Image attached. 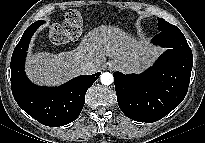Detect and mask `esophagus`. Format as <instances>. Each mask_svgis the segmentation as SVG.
I'll return each instance as SVG.
<instances>
[{
  "label": "esophagus",
  "mask_w": 205,
  "mask_h": 143,
  "mask_svg": "<svg viewBox=\"0 0 205 143\" xmlns=\"http://www.w3.org/2000/svg\"><path fill=\"white\" fill-rule=\"evenodd\" d=\"M115 68H116V65L114 63L109 62L106 64V69L108 70H114Z\"/></svg>",
  "instance_id": "34e87169"
}]
</instances>
